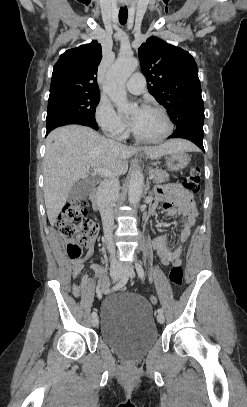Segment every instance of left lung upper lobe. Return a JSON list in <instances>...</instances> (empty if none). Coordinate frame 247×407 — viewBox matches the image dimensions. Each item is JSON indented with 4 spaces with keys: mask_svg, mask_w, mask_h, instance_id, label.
Instances as JSON below:
<instances>
[{
    "mask_svg": "<svg viewBox=\"0 0 247 407\" xmlns=\"http://www.w3.org/2000/svg\"><path fill=\"white\" fill-rule=\"evenodd\" d=\"M138 55L149 92L167 109L176 126L191 118L204 119L198 69L188 52L150 37Z\"/></svg>",
    "mask_w": 247,
    "mask_h": 407,
    "instance_id": "left-lung-upper-lobe-1",
    "label": "left lung upper lobe"
}]
</instances>
